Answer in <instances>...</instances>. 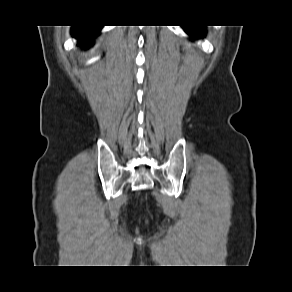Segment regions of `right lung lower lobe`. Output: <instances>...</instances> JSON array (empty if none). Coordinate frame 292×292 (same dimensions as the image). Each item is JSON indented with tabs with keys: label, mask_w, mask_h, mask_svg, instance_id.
<instances>
[{
	"label": "right lung lower lobe",
	"mask_w": 292,
	"mask_h": 292,
	"mask_svg": "<svg viewBox=\"0 0 292 292\" xmlns=\"http://www.w3.org/2000/svg\"><path fill=\"white\" fill-rule=\"evenodd\" d=\"M102 26H75L72 34L78 38V45L89 46L93 43V37H96Z\"/></svg>",
	"instance_id": "obj_1"
}]
</instances>
